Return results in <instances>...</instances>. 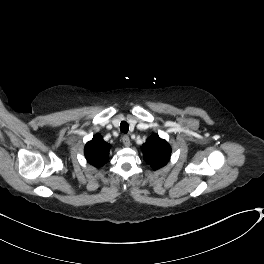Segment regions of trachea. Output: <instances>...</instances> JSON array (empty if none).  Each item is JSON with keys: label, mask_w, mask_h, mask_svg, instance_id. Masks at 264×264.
Returning <instances> with one entry per match:
<instances>
[{"label": "trachea", "mask_w": 264, "mask_h": 264, "mask_svg": "<svg viewBox=\"0 0 264 264\" xmlns=\"http://www.w3.org/2000/svg\"><path fill=\"white\" fill-rule=\"evenodd\" d=\"M120 130H121V132H123V133H127L128 130H129V124H128L126 121H122V122L120 123Z\"/></svg>", "instance_id": "3493384b"}]
</instances>
